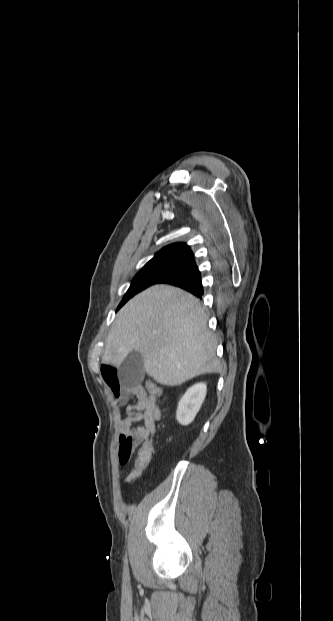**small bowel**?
I'll list each match as a JSON object with an SVG mask.
<instances>
[{"mask_svg":"<svg viewBox=\"0 0 333 621\" xmlns=\"http://www.w3.org/2000/svg\"><path fill=\"white\" fill-rule=\"evenodd\" d=\"M101 375L115 402L126 406L127 416L120 424L118 446L119 463L125 464L141 441L156 433L161 419L158 398L151 393L149 383L125 385L112 364H102Z\"/></svg>","mask_w":333,"mask_h":621,"instance_id":"small-bowel-1","label":"small bowel"}]
</instances>
